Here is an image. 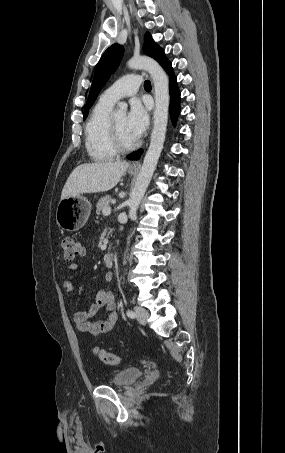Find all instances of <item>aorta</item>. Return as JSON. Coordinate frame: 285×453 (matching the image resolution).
<instances>
[{
	"label": "aorta",
	"instance_id": "1",
	"mask_svg": "<svg viewBox=\"0 0 285 453\" xmlns=\"http://www.w3.org/2000/svg\"><path fill=\"white\" fill-rule=\"evenodd\" d=\"M127 66L131 69L148 71L153 79L155 90L154 127L151 134V142L128 201L129 217L132 218L136 216L139 204L146 192L163 149L168 122L169 82L162 67L149 57H133L127 62ZM127 107V103L119 102L118 112L125 113Z\"/></svg>",
	"mask_w": 285,
	"mask_h": 453
}]
</instances>
